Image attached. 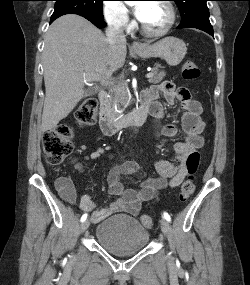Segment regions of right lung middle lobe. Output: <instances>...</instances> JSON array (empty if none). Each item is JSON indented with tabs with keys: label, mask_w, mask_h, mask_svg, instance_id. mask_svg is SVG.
<instances>
[{
	"label": "right lung middle lobe",
	"mask_w": 250,
	"mask_h": 285,
	"mask_svg": "<svg viewBox=\"0 0 250 285\" xmlns=\"http://www.w3.org/2000/svg\"><path fill=\"white\" fill-rule=\"evenodd\" d=\"M54 12L51 20L65 14H77L83 17H91L104 20L102 2L104 0H55Z\"/></svg>",
	"instance_id": "obj_1"
}]
</instances>
